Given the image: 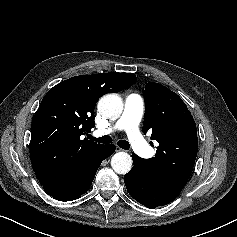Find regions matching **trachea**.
Returning <instances> with one entry per match:
<instances>
[{
    "instance_id": "1",
    "label": "trachea",
    "mask_w": 237,
    "mask_h": 237,
    "mask_svg": "<svg viewBox=\"0 0 237 237\" xmlns=\"http://www.w3.org/2000/svg\"><path fill=\"white\" fill-rule=\"evenodd\" d=\"M89 138L93 141L98 142V143H104V144L112 143V138L108 135H105V136H102V137H99V138L89 136ZM117 144H118L119 147H121L122 149H125V150H129V148H130L129 143L126 140H119L117 142Z\"/></svg>"
}]
</instances>
